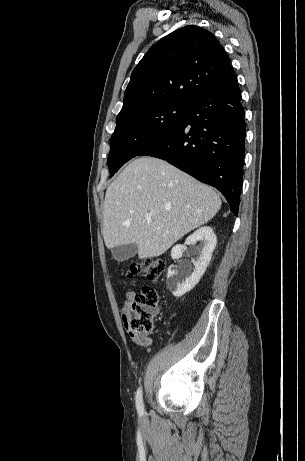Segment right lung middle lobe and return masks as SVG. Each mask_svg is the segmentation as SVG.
Returning a JSON list of instances; mask_svg holds the SVG:
<instances>
[{
    "instance_id": "obj_1",
    "label": "right lung middle lobe",
    "mask_w": 305,
    "mask_h": 461,
    "mask_svg": "<svg viewBox=\"0 0 305 461\" xmlns=\"http://www.w3.org/2000/svg\"><path fill=\"white\" fill-rule=\"evenodd\" d=\"M188 109V103L167 102L117 120L107 158L110 177L124 163L174 131L183 121Z\"/></svg>"
}]
</instances>
